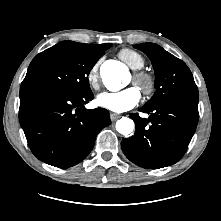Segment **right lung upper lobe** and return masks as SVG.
Returning <instances> with one entry per match:
<instances>
[{
    "mask_svg": "<svg viewBox=\"0 0 221 221\" xmlns=\"http://www.w3.org/2000/svg\"><path fill=\"white\" fill-rule=\"evenodd\" d=\"M89 46H95V47H103L105 46L106 44H87Z\"/></svg>",
    "mask_w": 221,
    "mask_h": 221,
    "instance_id": "obj_1",
    "label": "right lung upper lobe"
}]
</instances>
